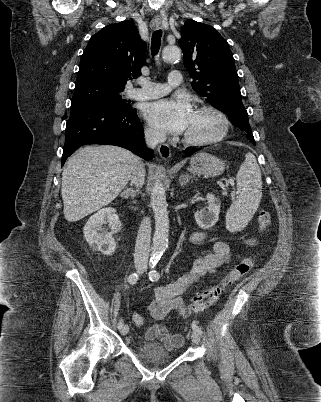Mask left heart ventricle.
Segmentation results:
<instances>
[{"mask_svg": "<svg viewBox=\"0 0 321 402\" xmlns=\"http://www.w3.org/2000/svg\"><path fill=\"white\" fill-rule=\"evenodd\" d=\"M219 129L220 121L214 114L194 111L185 134L195 138H208L214 136Z\"/></svg>", "mask_w": 321, "mask_h": 402, "instance_id": "b2bd125f", "label": "left heart ventricle"}]
</instances>
